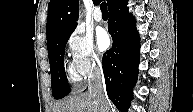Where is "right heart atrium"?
I'll list each match as a JSON object with an SVG mask.
<instances>
[{"label":"right heart atrium","mask_w":193,"mask_h":112,"mask_svg":"<svg viewBox=\"0 0 193 112\" xmlns=\"http://www.w3.org/2000/svg\"><path fill=\"white\" fill-rule=\"evenodd\" d=\"M67 51L71 67L78 77H88L102 68L92 36L82 27L74 28L68 35Z\"/></svg>","instance_id":"obj_1"}]
</instances>
